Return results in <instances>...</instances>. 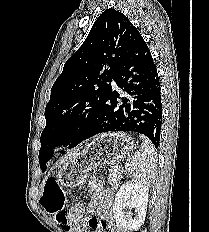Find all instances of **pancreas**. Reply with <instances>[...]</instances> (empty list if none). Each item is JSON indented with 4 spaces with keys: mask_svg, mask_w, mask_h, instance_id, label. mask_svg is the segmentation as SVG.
Masks as SVG:
<instances>
[{
    "mask_svg": "<svg viewBox=\"0 0 209 232\" xmlns=\"http://www.w3.org/2000/svg\"><path fill=\"white\" fill-rule=\"evenodd\" d=\"M123 171L119 168H112L108 176V183L111 185V188L114 190L118 187L119 182L122 178Z\"/></svg>",
    "mask_w": 209,
    "mask_h": 232,
    "instance_id": "1",
    "label": "pancreas"
}]
</instances>
